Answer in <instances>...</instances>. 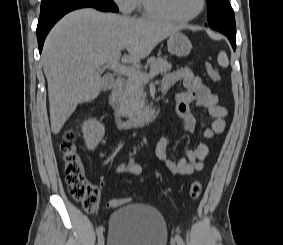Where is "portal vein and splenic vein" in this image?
Segmentation results:
<instances>
[{
    "label": "portal vein and splenic vein",
    "instance_id": "18ae733b",
    "mask_svg": "<svg viewBox=\"0 0 283 245\" xmlns=\"http://www.w3.org/2000/svg\"><path fill=\"white\" fill-rule=\"evenodd\" d=\"M104 68H109L117 73L122 75H126L129 78H137L144 82H148L150 78L154 77L156 73L152 72L150 74L143 75L137 69L121 64L118 62V59H114L106 64H104Z\"/></svg>",
    "mask_w": 283,
    "mask_h": 245
}]
</instances>
